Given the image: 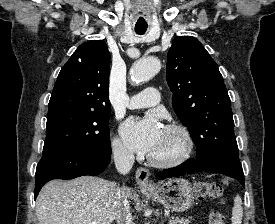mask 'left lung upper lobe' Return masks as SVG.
Masks as SVG:
<instances>
[{
	"label": "left lung upper lobe",
	"mask_w": 275,
	"mask_h": 224,
	"mask_svg": "<svg viewBox=\"0 0 275 224\" xmlns=\"http://www.w3.org/2000/svg\"><path fill=\"white\" fill-rule=\"evenodd\" d=\"M173 108L201 161H239L230 98L217 64L194 37L177 36L167 55Z\"/></svg>",
	"instance_id": "1"
}]
</instances>
